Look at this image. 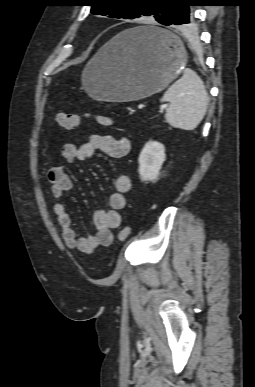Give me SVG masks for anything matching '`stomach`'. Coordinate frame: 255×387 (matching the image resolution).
<instances>
[{"label":"stomach","instance_id":"stomach-1","mask_svg":"<svg viewBox=\"0 0 255 387\" xmlns=\"http://www.w3.org/2000/svg\"><path fill=\"white\" fill-rule=\"evenodd\" d=\"M149 30L160 32L162 39L140 35ZM186 59L177 36L158 26H138L119 33L97 52L82 72V84L97 100L135 101L166 88Z\"/></svg>","mask_w":255,"mask_h":387}]
</instances>
